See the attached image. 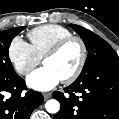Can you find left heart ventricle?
Wrapping results in <instances>:
<instances>
[{
  "label": "left heart ventricle",
  "instance_id": "left-heart-ventricle-1",
  "mask_svg": "<svg viewBox=\"0 0 119 119\" xmlns=\"http://www.w3.org/2000/svg\"><path fill=\"white\" fill-rule=\"evenodd\" d=\"M81 48L77 42L67 45L58 55L47 58L43 64L51 67L62 79L70 75L78 66Z\"/></svg>",
  "mask_w": 119,
  "mask_h": 119
}]
</instances>
